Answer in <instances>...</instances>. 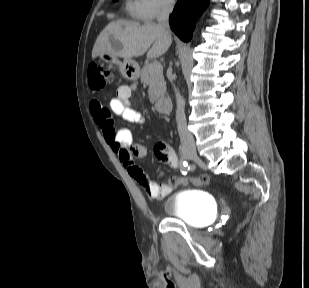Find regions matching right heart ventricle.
Masks as SVG:
<instances>
[{
	"instance_id": "obj_1",
	"label": "right heart ventricle",
	"mask_w": 309,
	"mask_h": 288,
	"mask_svg": "<svg viewBox=\"0 0 309 288\" xmlns=\"http://www.w3.org/2000/svg\"><path fill=\"white\" fill-rule=\"evenodd\" d=\"M127 10L133 17L136 18H144L141 14V8L137 2V0H129L127 4Z\"/></svg>"
}]
</instances>
